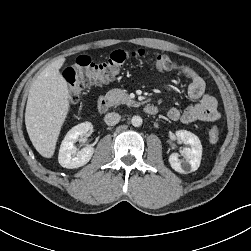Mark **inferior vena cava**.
<instances>
[{"mask_svg": "<svg viewBox=\"0 0 251 251\" xmlns=\"http://www.w3.org/2000/svg\"><path fill=\"white\" fill-rule=\"evenodd\" d=\"M120 115L115 112H111L105 115L104 121L107 125H116L120 121Z\"/></svg>", "mask_w": 251, "mask_h": 251, "instance_id": "obj_1", "label": "inferior vena cava"}]
</instances>
